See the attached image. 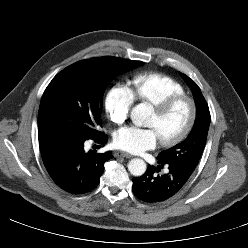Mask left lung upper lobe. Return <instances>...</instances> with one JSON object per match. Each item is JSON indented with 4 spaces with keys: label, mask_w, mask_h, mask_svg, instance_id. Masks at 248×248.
<instances>
[{
    "label": "left lung upper lobe",
    "mask_w": 248,
    "mask_h": 248,
    "mask_svg": "<svg viewBox=\"0 0 248 248\" xmlns=\"http://www.w3.org/2000/svg\"><path fill=\"white\" fill-rule=\"evenodd\" d=\"M180 75L193 92L197 107L196 120L186 140L168 150L162 151L157 159L163 164H173L194 170L199 163L206 144L211 118L208 105L198 85L185 74L180 73Z\"/></svg>",
    "instance_id": "5c2ea615"
}]
</instances>
